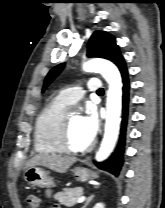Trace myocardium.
Wrapping results in <instances>:
<instances>
[{
	"mask_svg": "<svg viewBox=\"0 0 165 208\" xmlns=\"http://www.w3.org/2000/svg\"><path fill=\"white\" fill-rule=\"evenodd\" d=\"M70 115H65L59 134V146L63 153L69 154H84L93 148V143L90 142L86 147L74 148L69 142L70 131Z\"/></svg>",
	"mask_w": 165,
	"mask_h": 208,
	"instance_id": "obj_1",
	"label": "myocardium"
}]
</instances>
